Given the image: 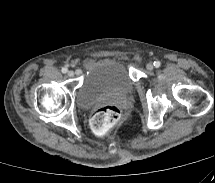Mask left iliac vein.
I'll return each instance as SVG.
<instances>
[{
    "instance_id": "1",
    "label": "left iliac vein",
    "mask_w": 215,
    "mask_h": 183,
    "mask_svg": "<svg viewBox=\"0 0 215 183\" xmlns=\"http://www.w3.org/2000/svg\"><path fill=\"white\" fill-rule=\"evenodd\" d=\"M147 70L152 71L154 69V65L152 63H148L146 65Z\"/></svg>"
}]
</instances>
